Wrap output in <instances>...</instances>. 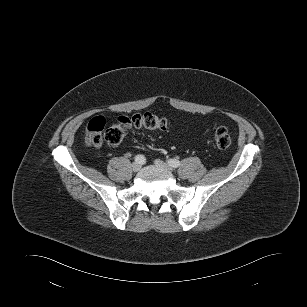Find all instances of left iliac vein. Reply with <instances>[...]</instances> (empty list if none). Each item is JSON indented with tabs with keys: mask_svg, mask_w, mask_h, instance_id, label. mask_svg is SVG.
Instances as JSON below:
<instances>
[{
	"mask_svg": "<svg viewBox=\"0 0 307 307\" xmlns=\"http://www.w3.org/2000/svg\"><path fill=\"white\" fill-rule=\"evenodd\" d=\"M154 163H155L156 166L161 167V168H164V169H166V170H168V171H170V172H172V170H173L172 167H171L170 165L166 164L165 162H163V161H161V160H159V159H156V160L154 161Z\"/></svg>",
	"mask_w": 307,
	"mask_h": 307,
	"instance_id": "obj_1",
	"label": "left iliac vein"
}]
</instances>
